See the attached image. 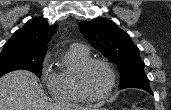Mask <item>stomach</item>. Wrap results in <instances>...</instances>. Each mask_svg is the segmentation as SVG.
I'll list each match as a JSON object with an SVG mask.
<instances>
[{
    "instance_id": "1",
    "label": "stomach",
    "mask_w": 171,
    "mask_h": 110,
    "mask_svg": "<svg viewBox=\"0 0 171 110\" xmlns=\"http://www.w3.org/2000/svg\"><path fill=\"white\" fill-rule=\"evenodd\" d=\"M90 110H106L105 108H93V109H90Z\"/></svg>"
}]
</instances>
